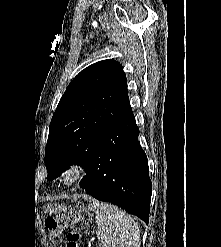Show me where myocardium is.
<instances>
[{"mask_svg": "<svg viewBox=\"0 0 221 247\" xmlns=\"http://www.w3.org/2000/svg\"><path fill=\"white\" fill-rule=\"evenodd\" d=\"M85 176V167L79 162L71 163L65 170L63 180L67 185H76Z\"/></svg>", "mask_w": 221, "mask_h": 247, "instance_id": "1", "label": "myocardium"}]
</instances>
